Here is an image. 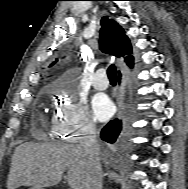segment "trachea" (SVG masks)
<instances>
[{"label": "trachea", "mask_w": 188, "mask_h": 189, "mask_svg": "<svg viewBox=\"0 0 188 189\" xmlns=\"http://www.w3.org/2000/svg\"><path fill=\"white\" fill-rule=\"evenodd\" d=\"M107 75H108L110 82H112V83L117 82V73H116V67L114 64L109 66V68L107 70Z\"/></svg>", "instance_id": "trachea-1"}]
</instances>
